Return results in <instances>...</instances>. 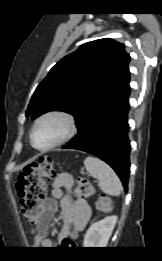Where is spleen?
Here are the masks:
<instances>
[{
    "label": "spleen",
    "mask_w": 162,
    "mask_h": 261,
    "mask_svg": "<svg viewBox=\"0 0 162 261\" xmlns=\"http://www.w3.org/2000/svg\"><path fill=\"white\" fill-rule=\"evenodd\" d=\"M87 172L96 178L101 190L108 195L118 196L122 191V184L114 170L102 160L88 156L84 160Z\"/></svg>",
    "instance_id": "1"
}]
</instances>
